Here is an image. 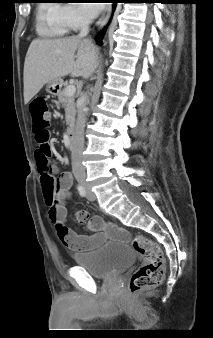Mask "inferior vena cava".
<instances>
[{
  "instance_id": "602c4592",
  "label": "inferior vena cava",
  "mask_w": 213,
  "mask_h": 338,
  "mask_svg": "<svg viewBox=\"0 0 213 338\" xmlns=\"http://www.w3.org/2000/svg\"><path fill=\"white\" fill-rule=\"evenodd\" d=\"M90 20L84 18L78 37L82 38L89 33ZM85 103L78 108V116L76 121L75 133L73 136L71 147L72 171L77 180H84L86 177L85 167L82 164V153L84 149V128L86 116L84 112Z\"/></svg>"
}]
</instances>
